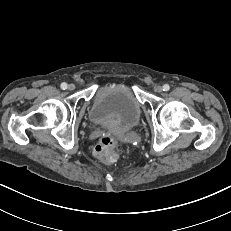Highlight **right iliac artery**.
I'll use <instances>...</instances> for the list:
<instances>
[{"mask_svg":"<svg viewBox=\"0 0 231 231\" xmlns=\"http://www.w3.org/2000/svg\"><path fill=\"white\" fill-rule=\"evenodd\" d=\"M61 89H63V90L67 89V84L65 82H63L61 84Z\"/></svg>","mask_w":231,"mask_h":231,"instance_id":"obj_1","label":"right iliac artery"}]
</instances>
